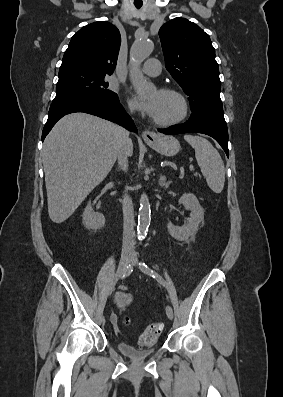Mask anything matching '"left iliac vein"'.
Returning <instances> with one entry per match:
<instances>
[{
    "instance_id": "left-iliac-vein-1",
    "label": "left iliac vein",
    "mask_w": 283,
    "mask_h": 397,
    "mask_svg": "<svg viewBox=\"0 0 283 397\" xmlns=\"http://www.w3.org/2000/svg\"><path fill=\"white\" fill-rule=\"evenodd\" d=\"M130 262L133 266H138V259L135 254H131ZM165 310H166L167 317L170 320H172L173 319V310H172L171 306L167 305Z\"/></svg>"
}]
</instances>
